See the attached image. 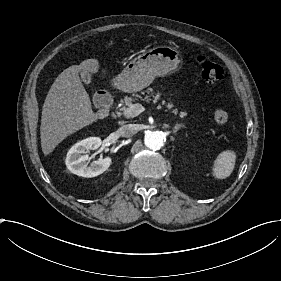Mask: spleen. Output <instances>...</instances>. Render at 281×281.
Segmentation results:
<instances>
[{"instance_id":"obj_1","label":"spleen","mask_w":281,"mask_h":281,"mask_svg":"<svg viewBox=\"0 0 281 281\" xmlns=\"http://www.w3.org/2000/svg\"><path fill=\"white\" fill-rule=\"evenodd\" d=\"M236 154L227 150L219 154L214 162L213 176L217 179H225L231 175L235 166Z\"/></svg>"}]
</instances>
